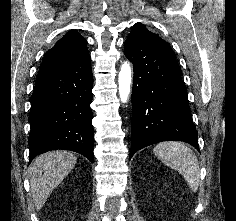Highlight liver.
<instances>
[{
    "label": "liver",
    "mask_w": 236,
    "mask_h": 221,
    "mask_svg": "<svg viewBox=\"0 0 236 221\" xmlns=\"http://www.w3.org/2000/svg\"><path fill=\"white\" fill-rule=\"evenodd\" d=\"M76 162V156L64 150L46 152L34 160L29 181L36 210L43 207L51 192L70 173Z\"/></svg>",
    "instance_id": "6515ba94"
}]
</instances>
